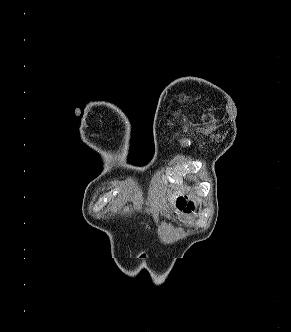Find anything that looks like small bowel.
I'll return each instance as SVG.
<instances>
[{"label": "small bowel", "instance_id": "1", "mask_svg": "<svg viewBox=\"0 0 291 332\" xmlns=\"http://www.w3.org/2000/svg\"><path fill=\"white\" fill-rule=\"evenodd\" d=\"M194 208H195L194 203L192 201L185 199V204L183 205L181 210H183V212L185 213H190L191 211L194 210Z\"/></svg>", "mask_w": 291, "mask_h": 332}]
</instances>
